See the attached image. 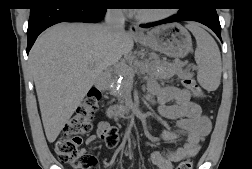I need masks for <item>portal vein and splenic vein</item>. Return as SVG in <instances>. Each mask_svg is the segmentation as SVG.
<instances>
[{
    "label": "portal vein and splenic vein",
    "mask_w": 252,
    "mask_h": 169,
    "mask_svg": "<svg viewBox=\"0 0 252 169\" xmlns=\"http://www.w3.org/2000/svg\"><path fill=\"white\" fill-rule=\"evenodd\" d=\"M115 68L122 75L127 74L129 76H133L135 73V70L132 67L123 63L116 64Z\"/></svg>",
    "instance_id": "obj_1"
}]
</instances>
